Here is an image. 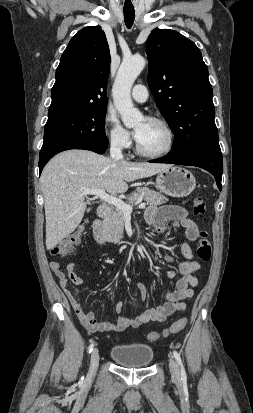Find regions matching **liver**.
Instances as JSON below:
<instances>
[{
    "label": "liver",
    "mask_w": 253,
    "mask_h": 413,
    "mask_svg": "<svg viewBox=\"0 0 253 413\" xmlns=\"http://www.w3.org/2000/svg\"><path fill=\"white\" fill-rule=\"evenodd\" d=\"M164 163H137L101 156L88 150H67L44 167L40 185L46 216V248H54L80 224L85 212L82 189H104L123 194L128 182L150 177L170 167Z\"/></svg>",
    "instance_id": "6515ba94"
}]
</instances>
